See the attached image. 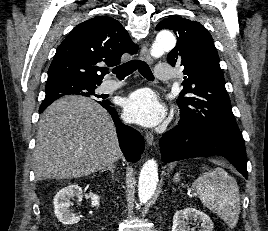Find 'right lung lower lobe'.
<instances>
[{
  "instance_id": "1",
  "label": "right lung lower lobe",
  "mask_w": 268,
  "mask_h": 231,
  "mask_svg": "<svg viewBox=\"0 0 268 231\" xmlns=\"http://www.w3.org/2000/svg\"><path fill=\"white\" fill-rule=\"evenodd\" d=\"M100 103L112 116L116 126V131L119 139V145L127 161L136 162L139 160L144 150V139L141 134L134 128L124 125L115 109L111 107L109 101H102ZM44 110H40L42 113Z\"/></svg>"
}]
</instances>
